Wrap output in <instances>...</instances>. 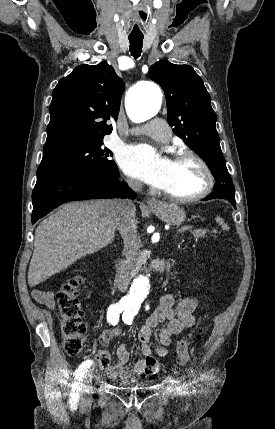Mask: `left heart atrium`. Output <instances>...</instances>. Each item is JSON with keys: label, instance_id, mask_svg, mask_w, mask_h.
I'll use <instances>...</instances> for the list:
<instances>
[{"label": "left heart atrium", "instance_id": "left-heart-atrium-1", "mask_svg": "<svg viewBox=\"0 0 275 429\" xmlns=\"http://www.w3.org/2000/svg\"><path fill=\"white\" fill-rule=\"evenodd\" d=\"M121 168L131 176L163 189L167 182L171 160L160 156L152 147L136 145L119 154Z\"/></svg>", "mask_w": 275, "mask_h": 429}]
</instances>
